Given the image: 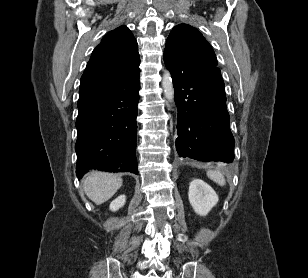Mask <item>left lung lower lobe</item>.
<instances>
[{"instance_id":"obj_1","label":"left lung lower lobe","mask_w":308,"mask_h":278,"mask_svg":"<svg viewBox=\"0 0 308 278\" xmlns=\"http://www.w3.org/2000/svg\"><path fill=\"white\" fill-rule=\"evenodd\" d=\"M171 76L178 110L179 156L205 162H232L235 142L220 69Z\"/></svg>"}]
</instances>
